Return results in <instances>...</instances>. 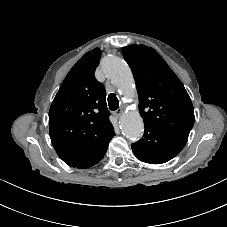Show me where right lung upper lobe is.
I'll return each mask as SVG.
<instances>
[{
    "mask_svg": "<svg viewBox=\"0 0 227 227\" xmlns=\"http://www.w3.org/2000/svg\"><path fill=\"white\" fill-rule=\"evenodd\" d=\"M100 56V49L95 48L71 68L49 110L52 145L71 167L98 159L115 134L105 88L94 76Z\"/></svg>",
    "mask_w": 227,
    "mask_h": 227,
    "instance_id": "cb5924a9",
    "label": "right lung upper lobe"
}]
</instances>
